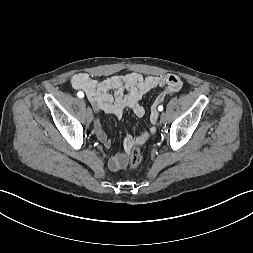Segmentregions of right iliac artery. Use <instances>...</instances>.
Returning <instances> with one entry per match:
<instances>
[{
	"instance_id": "1",
	"label": "right iliac artery",
	"mask_w": 253,
	"mask_h": 253,
	"mask_svg": "<svg viewBox=\"0 0 253 253\" xmlns=\"http://www.w3.org/2000/svg\"><path fill=\"white\" fill-rule=\"evenodd\" d=\"M77 95H78V97H80V98H83V97H84V93H83V92H81V91H80V92H78V93H77Z\"/></svg>"
}]
</instances>
